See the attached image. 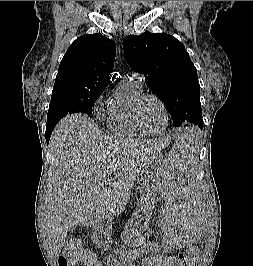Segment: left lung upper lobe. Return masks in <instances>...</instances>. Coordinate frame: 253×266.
<instances>
[{
  "mask_svg": "<svg viewBox=\"0 0 253 266\" xmlns=\"http://www.w3.org/2000/svg\"><path fill=\"white\" fill-rule=\"evenodd\" d=\"M126 61L157 93L177 126L202 122L197 70L184 45L165 33L145 31L123 41Z\"/></svg>",
  "mask_w": 253,
  "mask_h": 266,
  "instance_id": "left-lung-upper-lobe-1",
  "label": "left lung upper lobe"
}]
</instances>
